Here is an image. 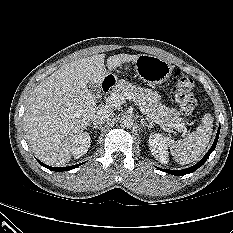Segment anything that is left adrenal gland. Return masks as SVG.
Returning <instances> with one entry per match:
<instances>
[{
    "instance_id": "a2214340",
    "label": "left adrenal gland",
    "mask_w": 233,
    "mask_h": 233,
    "mask_svg": "<svg viewBox=\"0 0 233 233\" xmlns=\"http://www.w3.org/2000/svg\"><path fill=\"white\" fill-rule=\"evenodd\" d=\"M140 119H141V125L143 127H147V128H152L153 127V123L152 122L147 123L143 116H141Z\"/></svg>"
}]
</instances>
